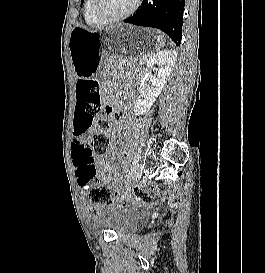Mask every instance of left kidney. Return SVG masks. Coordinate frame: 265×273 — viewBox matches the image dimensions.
Instances as JSON below:
<instances>
[{"instance_id": "1", "label": "left kidney", "mask_w": 265, "mask_h": 273, "mask_svg": "<svg viewBox=\"0 0 265 273\" xmlns=\"http://www.w3.org/2000/svg\"><path fill=\"white\" fill-rule=\"evenodd\" d=\"M177 58V53L173 50H164L151 56L146 66L153 69L158 65L157 71L150 76L149 84L143 88L134 105V114H145L160 95L172 67Z\"/></svg>"}]
</instances>
